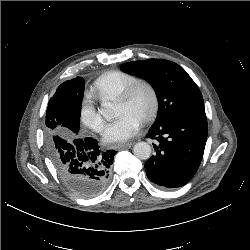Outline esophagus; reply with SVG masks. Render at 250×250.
<instances>
[{
  "label": "esophagus",
  "instance_id": "obj_1",
  "mask_svg": "<svg viewBox=\"0 0 250 250\" xmlns=\"http://www.w3.org/2000/svg\"><path fill=\"white\" fill-rule=\"evenodd\" d=\"M133 145V142H128V143H123V144H118V145H115L114 148L116 150H120V149H123V148H129Z\"/></svg>",
  "mask_w": 250,
  "mask_h": 250
}]
</instances>
